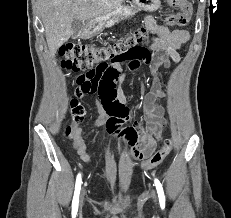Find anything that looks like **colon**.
Wrapping results in <instances>:
<instances>
[{
	"mask_svg": "<svg viewBox=\"0 0 231 218\" xmlns=\"http://www.w3.org/2000/svg\"><path fill=\"white\" fill-rule=\"evenodd\" d=\"M166 3L179 11L169 16L168 23L173 26H186L191 18L192 8L187 0H166ZM146 36V29L139 28L123 39L109 45L89 46L83 44L67 43L59 50L60 64L63 68L72 71L82 69H94L110 60H116V56H143L150 58V52L139 44ZM85 117L83 106L73 99L70 104V118L72 124L67 126L66 134L70 135ZM171 150V142L165 141L164 145L157 151L152 152L141 164L143 169H152L160 164Z\"/></svg>",
	"mask_w": 231,
	"mask_h": 218,
	"instance_id": "obj_1",
	"label": "colon"
}]
</instances>
